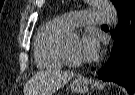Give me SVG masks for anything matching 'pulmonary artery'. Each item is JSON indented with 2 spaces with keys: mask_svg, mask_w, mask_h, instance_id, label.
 Segmentation results:
<instances>
[{
  "mask_svg": "<svg viewBox=\"0 0 135 95\" xmlns=\"http://www.w3.org/2000/svg\"><path fill=\"white\" fill-rule=\"evenodd\" d=\"M60 19L69 28L83 24H101L110 22L109 16L104 11H75L62 15Z\"/></svg>",
  "mask_w": 135,
  "mask_h": 95,
  "instance_id": "1",
  "label": "pulmonary artery"
}]
</instances>
